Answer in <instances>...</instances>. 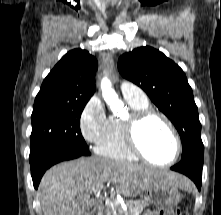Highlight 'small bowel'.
<instances>
[{
    "instance_id": "obj_1",
    "label": "small bowel",
    "mask_w": 221,
    "mask_h": 215,
    "mask_svg": "<svg viewBox=\"0 0 221 215\" xmlns=\"http://www.w3.org/2000/svg\"><path fill=\"white\" fill-rule=\"evenodd\" d=\"M143 215H154L152 212L148 211V212H145Z\"/></svg>"
}]
</instances>
